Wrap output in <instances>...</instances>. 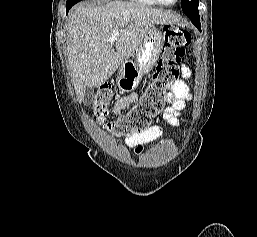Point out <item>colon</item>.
I'll return each mask as SVG.
<instances>
[{
    "instance_id": "colon-1",
    "label": "colon",
    "mask_w": 257,
    "mask_h": 237,
    "mask_svg": "<svg viewBox=\"0 0 257 237\" xmlns=\"http://www.w3.org/2000/svg\"><path fill=\"white\" fill-rule=\"evenodd\" d=\"M190 41L191 35L187 30L175 26L166 27L162 57L139 102L126 114L111 121L108 119V108L115 99V93L110 84L102 85L93 100V114L98 123L116 137L129 136L146 130L151 119L164 107L166 92L179 76L180 63Z\"/></svg>"
}]
</instances>
